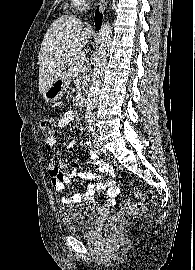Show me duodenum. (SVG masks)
I'll return each mask as SVG.
<instances>
[{"instance_id":"1","label":"duodenum","mask_w":195,"mask_h":270,"mask_svg":"<svg viewBox=\"0 0 195 270\" xmlns=\"http://www.w3.org/2000/svg\"><path fill=\"white\" fill-rule=\"evenodd\" d=\"M86 102H87V95L84 94V95L82 96V98H81V103H82L83 105H85Z\"/></svg>"}]
</instances>
